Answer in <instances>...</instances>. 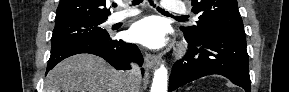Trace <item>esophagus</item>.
<instances>
[{
    "label": "esophagus",
    "instance_id": "34e87169",
    "mask_svg": "<svg viewBox=\"0 0 289 92\" xmlns=\"http://www.w3.org/2000/svg\"><path fill=\"white\" fill-rule=\"evenodd\" d=\"M144 61L147 70H151L159 64L158 58L150 53L145 54Z\"/></svg>",
    "mask_w": 289,
    "mask_h": 92
}]
</instances>
